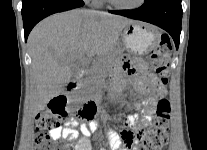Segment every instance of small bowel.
Here are the masks:
<instances>
[{
    "label": "small bowel",
    "instance_id": "small-bowel-1",
    "mask_svg": "<svg viewBox=\"0 0 207 150\" xmlns=\"http://www.w3.org/2000/svg\"><path fill=\"white\" fill-rule=\"evenodd\" d=\"M138 69L142 73H145L147 71V66L145 63L141 62L138 65ZM127 73L130 76H134L136 74V69L129 68L127 69ZM125 85L126 80L121 76H117L114 79L110 90L111 97L115 98L116 94L121 91L125 87ZM135 89L139 94L142 95H146L149 92H152L154 95L152 99L154 101L158 98H162L166 93L164 84L154 76L139 77L135 82ZM152 99L149 100V104L151 103L150 101ZM150 115L151 111H145L143 113V117L145 120ZM125 123L128 128L138 131L139 133L143 132L144 122L140 120L138 114L129 115L126 118ZM98 127L99 123L97 121H90L89 123H79L76 118H71L65 126H60L50 131L49 135L54 139L63 138L69 141H74L78 139L79 134H81V137L77 140V142L71 143V150H90L89 136ZM104 134L110 150H125L120 149L122 143L124 144L123 134L120 136L111 128H106Z\"/></svg>",
    "mask_w": 207,
    "mask_h": 150
}]
</instances>
